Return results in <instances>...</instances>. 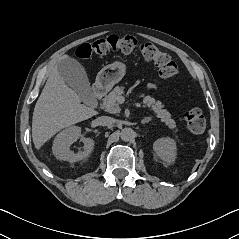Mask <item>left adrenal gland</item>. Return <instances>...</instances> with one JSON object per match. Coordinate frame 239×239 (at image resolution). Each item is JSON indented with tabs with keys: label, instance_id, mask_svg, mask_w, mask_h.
Instances as JSON below:
<instances>
[{
	"label": "left adrenal gland",
	"instance_id": "obj_1",
	"mask_svg": "<svg viewBox=\"0 0 239 239\" xmlns=\"http://www.w3.org/2000/svg\"><path fill=\"white\" fill-rule=\"evenodd\" d=\"M151 120H152L151 117H145V118L141 121V123H142V124H146V123H149Z\"/></svg>",
	"mask_w": 239,
	"mask_h": 239
}]
</instances>
